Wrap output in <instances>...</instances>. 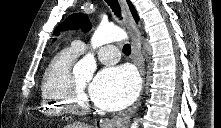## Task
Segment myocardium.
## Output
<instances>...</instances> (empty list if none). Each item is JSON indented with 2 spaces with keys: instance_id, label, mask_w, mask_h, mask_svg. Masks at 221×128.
<instances>
[{
  "instance_id": "obj_1",
  "label": "myocardium",
  "mask_w": 221,
  "mask_h": 128,
  "mask_svg": "<svg viewBox=\"0 0 221 128\" xmlns=\"http://www.w3.org/2000/svg\"><path fill=\"white\" fill-rule=\"evenodd\" d=\"M89 109L90 102L85 95L84 89L74 79L69 92L68 110L71 113H87Z\"/></svg>"
}]
</instances>
